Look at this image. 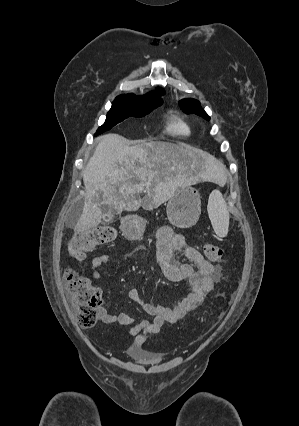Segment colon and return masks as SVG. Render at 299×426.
<instances>
[{"instance_id": "obj_1", "label": "colon", "mask_w": 299, "mask_h": 426, "mask_svg": "<svg viewBox=\"0 0 299 426\" xmlns=\"http://www.w3.org/2000/svg\"><path fill=\"white\" fill-rule=\"evenodd\" d=\"M115 237V229L109 226L78 231L69 241V255L77 261H82L86 253L111 242ZM203 251L212 262L221 261L224 255L223 248L213 242H207ZM65 289L80 326L83 328L94 326L97 321L98 310L103 303L100 290L92 286L86 277L72 270L65 273Z\"/></svg>"}]
</instances>
